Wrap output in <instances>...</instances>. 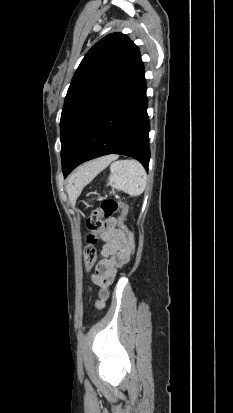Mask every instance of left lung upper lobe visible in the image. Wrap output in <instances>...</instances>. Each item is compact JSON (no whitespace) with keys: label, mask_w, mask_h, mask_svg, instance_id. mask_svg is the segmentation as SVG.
I'll list each match as a JSON object with an SVG mask.
<instances>
[{"label":"left lung upper lobe","mask_w":233,"mask_h":413,"mask_svg":"<svg viewBox=\"0 0 233 413\" xmlns=\"http://www.w3.org/2000/svg\"><path fill=\"white\" fill-rule=\"evenodd\" d=\"M139 54L138 47L122 33L105 36L87 52L72 78L61 114L63 167L72 160L90 122L123 82Z\"/></svg>","instance_id":"obj_1"}]
</instances>
